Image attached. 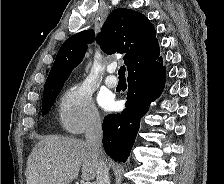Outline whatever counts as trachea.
Instances as JSON below:
<instances>
[{"mask_svg":"<svg viewBox=\"0 0 224 184\" xmlns=\"http://www.w3.org/2000/svg\"><path fill=\"white\" fill-rule=\"evenodd\" d=\"M125 71H126L125 66H121L118 72L119 79H125Z\"/></svg>","mask_w":224,"mask_h":184,"instance_id":"trachea-1","label":"trachea"}]
</instances>
